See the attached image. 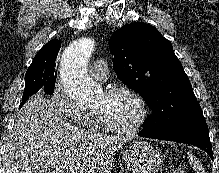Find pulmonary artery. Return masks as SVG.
I'll return each mask as SVG.
<instances>
[{
	"instance_id": "1",
	"label": "pulmonary artery",
	"mask_w": 219,
	"mask_h": 173,
	"mask_svg": "<svg viewBox=\"0 0 219 173\" xmlns=\"http://www.w3.org/2000/svg\"><path fill=\"white\" fill-rule=\"evenodd\" d=\"M89 72L91 77L95 80H106L109 73L107 62L102 58L95 59L90 65Z\"/></svg>"
}]
</instances>
